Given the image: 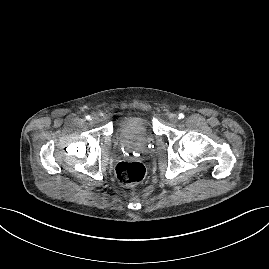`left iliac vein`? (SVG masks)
Instances as JSON below:
<instances>
[{"mask_svg":"<svg viewBox=\"0 0 269 269\" xmlns=\"http://www.w3.org/2000/svg\"><path fill=\"white\" fill-rule=\"evenodd\" d=\"M178 119H179L178 116L173 114V115L170 116L169 120H170V123L176 124L178 122Z\"/></svg>","mask_w":269,"mask_h":269,"instance_id":"4c4485c4","label":"left iliac vein"}]
</instances>
